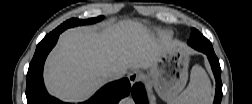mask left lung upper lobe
I'll return each instance as SVG.
<instances>
[{"mask_svg":"<svg viewBox=\"0 0 252 104\" xmlns=\"http://www.w3.org/2000/svg\"><path fill=\"white\" fill-rule=\"evenodd\" d=\"M201 34L198 30L192 28V33H191V37L190 39H193L195 42L199 43V45L202 46V49H198L199 51L205 52V51H210V52H214L213 47L211 42L209 41V43H204V42H198L197 41V35ZM208 40V39H207Z\"/></svg>","mask_w":252,"mask_h":104,"instance_id":"1","label":"left lung upper lobe"}]
</instances>
